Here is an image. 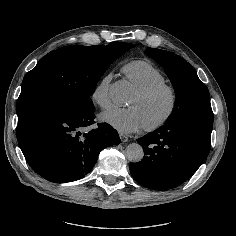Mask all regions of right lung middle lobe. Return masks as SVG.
Instances as JSON below:
<instances>
[{"label": "right lung middle lobe", "mask_w": 236, "mask_h": 236, "mask_svg": "<svg viewBox=\"0 0 236 236\" xmlns=\"http://www.w3.org/2000/svg\"><path fill=\"white\" fill-rule=\"evenodd\" d=\"M133 48L129 43L68 46L44 56L22 82L17 101L18 123L49 109H93L90 96L106 69Z\"/></svg>", "instance_id": "dd1d6c3e"}]
</instances>
